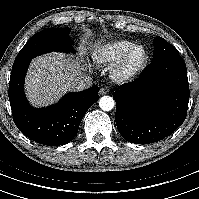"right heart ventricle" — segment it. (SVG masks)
Wrapping results in <instances>:
<instances>
[{"mask_svg":"<svg viewBox=\"0 0 199 199\" xmlns=\"http://www.w3.org/2000/svg\"><path fill=\"white\" fill-rule=\"evenodd\" d=\"M132 45H134V42L128 39L106 41L94 47L91 57L96 65L110 67Z\"/></svg>","mask_w":199,"mask_h":199,"instance_id":"1","label":"right heart ventricle"}]
</instances>
